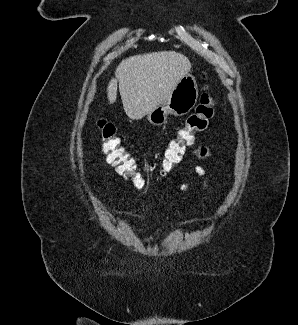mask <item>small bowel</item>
Returning a JSON list of instances; mask_svg holds the SVG:
<instances>
[{
	"mask_svg": "<svg viewBox=\"0 0 298 325\" xmlns=\"http://www.w3.org/2000/svg\"><path fill=\"white\" fill-rule=\"evenodd\" d=\"M195 154L199 158H204V157L207 156V149L205 147H200L199 149H197L195 151ZM195 171L199 176L205 178V170L203 169L202 166L197 165L195 167ZM204 187H207V180L206 179L204 180ZM187 188H188L187 184L183 183L180 186V191L183 193V192H185L187 190Z\"/></svg>",
	"mask_w": 298,
	"mask_h": 325,
	"instance_id": "1",
	"label": "small bowel"
}]
</instances>
